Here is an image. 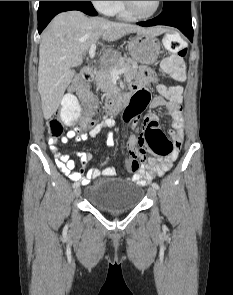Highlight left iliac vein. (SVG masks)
I'll use <instances>...</instances> for the list:
<instances>
[{
    "label": "left iliac vein",
    "mask_w": 233,
    "mask_h": 295,
    "mask_svg": "<svg viewBox=\"0 0 233 295\" xmlns=\"http://www.w3.org/2000/svg\"><path fill=\"white\" fill-rule=\"evenodd\" d=\"M148 194L151 196V197H155L156 196V189L154 187H149L148 188Z\"/></svg>",
    "instance_id": "1"
}]
</instances>
